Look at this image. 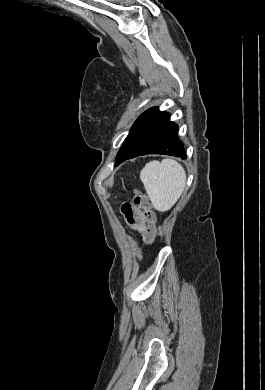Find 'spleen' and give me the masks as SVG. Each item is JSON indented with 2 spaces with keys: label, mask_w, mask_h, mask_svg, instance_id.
<instances>
[{
  "label": "spleen",
  "mask_w": 265,
  "mask_h": 390,
  "mask_svg": "<svg viewBox=\"0 0 265 390\" xmlns=\"http://www.w3.org/2000/svg\"><path fill=\"white\" fill-rule=\"evenodd\" d=\"M140 179L154 208L160 212L170 210L186 186L184 168L169 158L147 163L140 172Z\"/></svg>",
  "instance_id": "1"
}]
</instances>
